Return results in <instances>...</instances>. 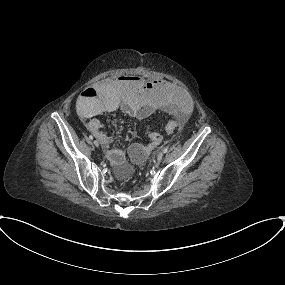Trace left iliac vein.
I'll return each mask as SVG.
<instances>
[{"label":"left iliac vein","mask_w":285,"mask_h":285,"mask_svg":"<svg viewBox=\"0 0 285 285\" xmlns=\"http://www.w3.org/2000/svg\"><path fill=\"white\" fill-rule=\"evenodd\" d=\"M164 156V153L163 152H160L158 155H157V161L160 162L162 160Z\"/></svg>","instance_id":"1"}]
</instances>
